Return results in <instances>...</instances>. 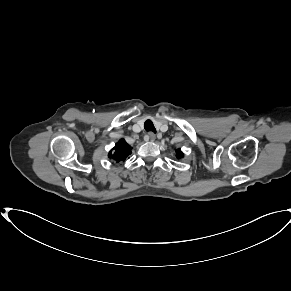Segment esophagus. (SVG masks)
<instances>
[{"mask_svg":"<svg viewBox=\"0 0 291 291\" xmlns=\"http://www.w3.org/2000/svg\"><path fill=\"white\" fill-rule=\"evenodd\" d=\"M148 138H149L150 141H154L156 139V135L153 132H150L148 134Z\"/></svg>","mask_w":291,"mask_h":291,"instance_id":"1","label":"esophagus"}]
</instances>
